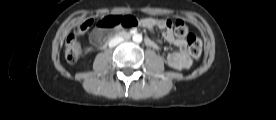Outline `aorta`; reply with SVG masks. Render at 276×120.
<instances>
[{
	"label": "aorta",
	"instance_id": "762f6f07",
	"mask_svg": "<svg viewBox=\"0 0 276 120\" xmlns=\"http://www.w3.org/2000/svg\"><path fill=\"white\" fill-rule=\"evenodd\" d=\"M134 43H141L142 42V35L141 34H134L132 37Z\"/></svg>",
	"mask_w": 276,
	"mask_h": 120
}]
</instances>
